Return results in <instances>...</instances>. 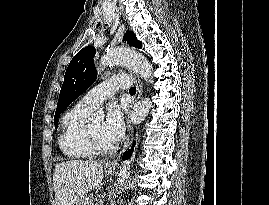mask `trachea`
Masks as SVG:
<instances>
[{
	"instance_id": "3493384b",
	"label": "trachea",
	"mask_w": 269,
	"mask_h": 205,
	"mask_svg": "<svg viewBox=\"0 0 269 205\" xmlns=\"http://www.w3.org/2000/svg\"><path fill=\"white\" fill-rule=\"evenodd\" d=\"M129 93H130V94H135V93H136V88H135V87H131V88L129 89Z\"/></svg>"
}]
</instances>
